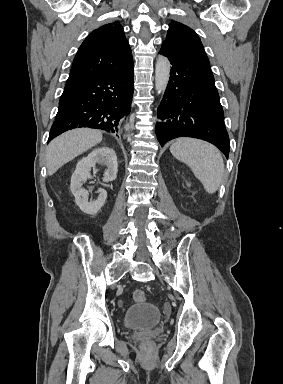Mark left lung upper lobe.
I'll list each match as a JSON object with an SVG mask.
<instances>
[{
	"label": "left lung upper lobe",
	"instance_id": "5c2ea615",
	"mask_svg": "<svg viewBox=\"0 0 283 384\" xmlns=\"http://www.w3.org/2000/svg\"><path fill=\"white\" fill-rule=\"evenodd\" d=\"M163 43L177 52L209 63L198 35L182 23L172 21L169 24L167 37Z\"/></svg>",
	"mask_w": 283,
	"mask_h": 384
}]
</instances>
